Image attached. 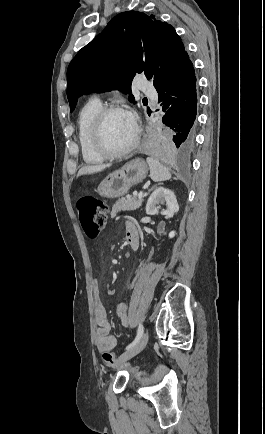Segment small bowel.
Wrapping results in <instances>:
<instances>
[{
    "mask_svg": "<svg viewBox=\"0 0 265 434\" xmlns=\"http://www.w3.org/2000/svg\"><path fill=\"white\" fill-rule=\"evenodd\" d=\"M125 235L129 244L133 241L139 245V233L135 225L127 222L125 225ZM94 293V318L96 322L95 329V344L100 352L112 351L116 346V339L110 332V324L107 317V312L101 297L100 283L94 279L91 283ZM116 315L121 320L122 324L127 327V305L120 302L116 305Z\"/></svg>",
    "mask_w": 265,
    "mask_h": 434,
    "instance_id": "1",
    "label": "small bowel"
}]
</instances>
